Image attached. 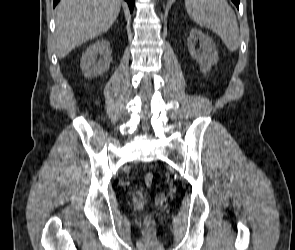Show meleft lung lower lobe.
<instances>
[{"label": "left lung lower lobe", "mask_w": 295, "mask_h": 250, "mask_svg": "<svg viewBox=\"0 0 295 250\" xmlns=\"http://www.w3.org/2000/svg\"><path fill=\"white\" fill-rule=\"evenodd\" d=\"M232 2L237 6V8H239L240 0H232Z\"/></svg>", "instance_id": "left-lung-lower-lobe-1"}]
</instances>
